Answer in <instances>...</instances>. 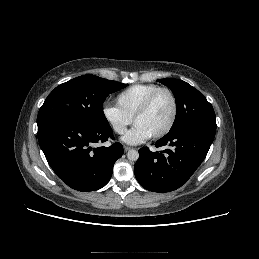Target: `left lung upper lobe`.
Listing matches in <instances>:
<instances>
[{"mask_svg": "<svg viewBox=\"0 0 259 259\" xmlns=\"http://www.w3.org/2000/svg\"><path fill=\"white\" fill-rule=\"evenodd\" d=\"M158 81L169 87L175 96L177 110L171 130L192 123L217 127L213 107L201 92L182 80Z\"/></svg>", "mask_w": 259, "mask_h": 259, "instance_id": "obj_1", "label": "left lung upper lobe"}]
</instances>
